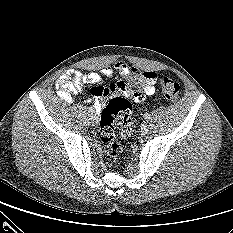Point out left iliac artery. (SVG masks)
I'll list each match as a JSON object with an SVG mask.
<instances>
[{
    "instance_id": "1",
    "label": "left iliac artery",
    "mask_w": 233,
    "mask_h": 233,
    "mask_svg": "<svg viewBox=\"0 0 233 233\" xmlns=\"http://www.w3.org/2000/svg\"><path fill=\"white\" fill-rule=\"evenodd\" d=\"M149 116H150V115H149L148 113H145V114H144V118H145V119H148Z\"/></svg>"
}]
</instances>
